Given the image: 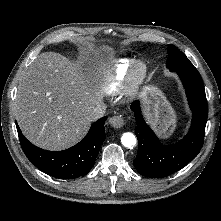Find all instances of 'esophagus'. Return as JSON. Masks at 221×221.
<instances>
[{
  "label": "esophagus",
  "mask_w": 221,
  "mask_h": 221,
  "mask_svg": "<svg viewBox=\"0 0 221 221\" xmlns=\"http://www.w3.org/2000/svg\"><path fill=\"white\" fill-rule=\"evenodd\" d=\"M110 124L114 128H121L124 125V120L122 115H115L110 118Z\"/></svg>",
  "instance_id": "esophagus-1"
}]
</instances>
